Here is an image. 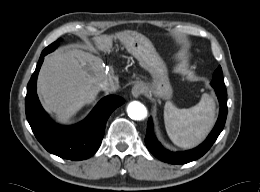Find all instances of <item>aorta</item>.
<instances>
[{
  "instance_id": "aorta-1",
  "label": "aorta",
  "mask_w": 260,
  "mask_h": 192,
  "mask_svg": "<svg viewBox=\"0 0 260 192\" xmlns=\"http://www.w3.org/2000/svg\"><path fill=\"white\" fill-rule=\"evenodd\" d=\"M128 116L133 120H143L147 116L146 107L139 101H132L127 106Z\"/></svg>"
}]
</instances>
